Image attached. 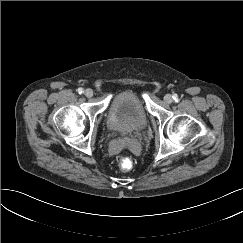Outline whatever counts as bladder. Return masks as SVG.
Here are the masks:
<instances>
[{"mask_svg": "<svg viewBox=\"0 0 243 243\" xmlns=\"http://www.w3.org/2000/svg\"><path fill=\"white\" fill-rule=\"evenodd\" d=\"M108 128L121 135L140 132L147 125V114L139 97L132 91L115 95L107 111Z\"/></svg>", "mask_w": 243, "mask_h": 243, "instance_id": "bladder-1", "label": "bladder"}]
</instances>
